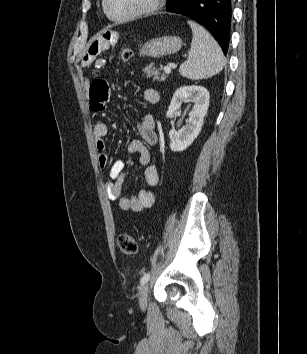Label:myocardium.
I'll use <instances>...</instances> for the list:
<instances>
[{
  "instance_id": "1",
  "label": "myocardium",
  "mask_w": 307,
  "mask_h": 354,
  "mask_svg": "<svg viewBox=\"0 0 307 354\" xmlns=\"http://www.w3.org/2000/svg\"><path fill=\"white\" fill-rule=\"evenodd\" d=\"M108 2H109V0H103V2H102L103 10H104L106 16L114 22H127V21L135 20V19H138V18H141V17H144V16L154 13L155 11H157L161 7L163 0H150V2L144 8H142L139 11H136L132 14L125 15V16L112 15L109 10Z\"/></svg>"
}]
</instances>
